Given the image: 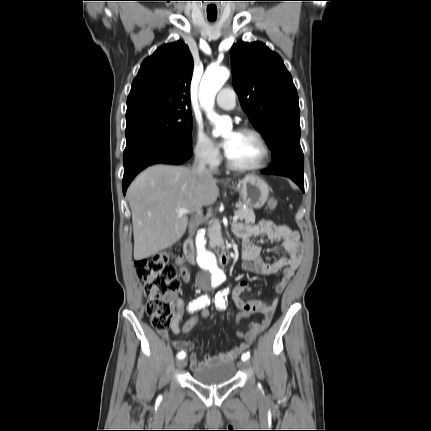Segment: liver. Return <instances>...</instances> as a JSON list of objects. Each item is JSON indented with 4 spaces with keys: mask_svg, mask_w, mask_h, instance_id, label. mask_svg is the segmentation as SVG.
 Returning a JSON list of instances; mask_svg holds the SVG:
<instances>
[{
    "mask_svg": "<svg viewBox=\"0 0 431 431\" xmlns=\"http://www.w3.org/2000/svg\"><path fill=\"white\" fill-rule=\"evenodd\" d=\"M216 180L182 166L154 165L129 186L134 259L142 260L175 244L184 235L189 213L214 204L219 196ZM186 209L179 215L177 210Z\"/></svg>",
    "mask_w": 431,
    "mask_h": 431,
    "instance_id": "liver-1",
    "label": "liver"
}]
</instances>
